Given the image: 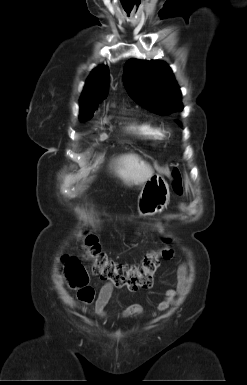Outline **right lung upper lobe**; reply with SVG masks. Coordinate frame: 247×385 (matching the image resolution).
Masks as SVG:
<instances>
[{
  "label": "right lung upper lobe",
  "instance_id": "1",
  "mask_svg": "<svg viewBox=\"0 0 247 385\" xmlns=\"http://www.w3.org/2000/svg\"><path fill=\"white\" fill-rule=\"evenodd\" d=\"M109 85V70L99 66L89 76L80 100L82 116L94 114L98 104L106 97Z\"/></svg>",
  "mask_w": 247,
  "mask_h": 385
}]
</instances>
